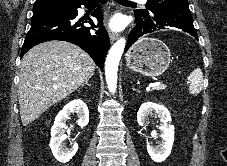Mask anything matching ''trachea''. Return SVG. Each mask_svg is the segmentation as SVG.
Segmentation results:
<instances>
[{
  "label": "trachea",
  "instance_id": "obj_1",
  "mask_svg": "<svg viewBox=\"0 0 227 166\" xmlns=\"http://www.w3.org/2000/svg\"><path fill=\"white\" fill-rule=\"evenodd\" d=\"M119 4H134V2L127 1V0H115Z\"/></svg>",
  "mask_w": 227,
  "mask_h": 166
}]
</instances>
